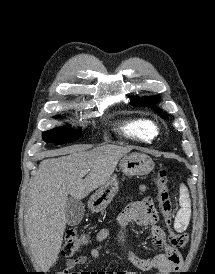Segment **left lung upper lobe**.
<instances>
[{
    "label": "left lung upper lobe",
    "mask_w": 215,
    "mask_h": 274,
    "mask_svg": "<svg viewBox=\"0 0 215 274\" xmlns=\"http://www.w3.org/2000/svg\"><path fill=\"white\" fill-rule=\"evenodd\" d=\"M156 101H157V96L142 97V98L133 99L131 101V104L134 105V106H150L156 112L160 113L161 111L158 109V107L155 106ZM163 117H164V115H163Z\"/></svg>",
    "instance_id": "1"
}]
</instances>
